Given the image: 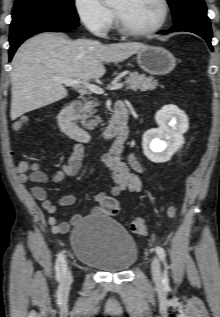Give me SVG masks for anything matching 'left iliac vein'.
I'll return each instance as SVG.
<instances>
[{
	"instance_id": "obj_1",
	"label": "left iliac vein",
	"mask_w": 220,
	"mask_h": 317,
	"mask_svg": "<svg viewBox=\"0 0 220 317\" xmlns=\"http://www.w3.org/2000/svg\"><path fill=\"white\" fill-rule=\"evenodd\" d=\"M151 272L156 282H160L162 280L161 264L157 257H154L151 262Z\"/></svg>"
}]
</instances>
